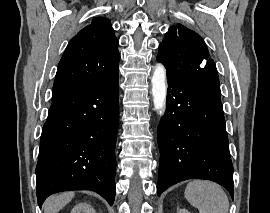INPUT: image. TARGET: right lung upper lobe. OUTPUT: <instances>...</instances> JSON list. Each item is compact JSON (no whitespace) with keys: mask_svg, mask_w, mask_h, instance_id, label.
I'll use <instances>...</instances> for the list:
<instances>
[{"mask_svg":"<svg viewBox=\"0 0 270 213\" xmlns=\"http://www.w3.org/2000/svg\"><path fill=\"white\" fill-rule=\"evenodd\" d=\"M118 44L110 20L94 19L67 45L58 65L52 96L113 79L118 75Z\"/></svg>","mask_w":270,"mask_h":213,"instance_id":"cb5924a9","label":"right lung upper lobe"}]
</instances>
